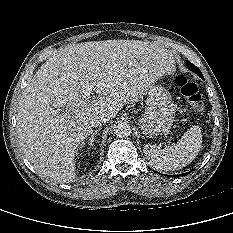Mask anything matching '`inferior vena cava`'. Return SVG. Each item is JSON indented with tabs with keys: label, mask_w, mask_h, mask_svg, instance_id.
<instances>
[{
	"label": "inferior vena cava",
	"mask_w": 233,
	"mask_h": 233,
	"mask_svg": "<svg viewBox=\"0 0 233 233\" xmlns=\"http://www.w3.org/2000/svg\"><path fill=\"white\" fill-rule=\"evenodd\" d=\"M107 121L106 117L103 114H94L90 117L89 123L92 127H101L103 123Z\"/></svg>",
	"instance_id": "1"
}]
</instances>
